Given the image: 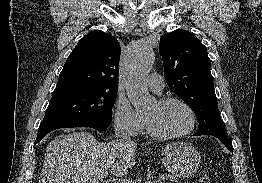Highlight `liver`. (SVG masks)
<instances>
[{"label": "liver", "instance_id": "liver-1", "mask_svg": "<svg viewBox=\"0 0 262 183\" xmlns=\"http://www.w3.org/2000/svg\"><path fill=\"white\" fill-rule=\"evenodd\" d=\"M67 132L49 143L39 183H99L102 172L122 177L135 165L132 141L101 143L89 132Z\"/></svg>", "mask_w": 262, "mask_h": 183}]
</instances>
